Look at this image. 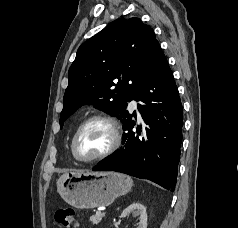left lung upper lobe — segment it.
I'll use <instances>...</instances> for the list:
<instances>
[{
  "mask_svg": "<svg viewBox=\"0 0 238 228\" xmlns=\"http://www.w3.org/2000/svg\"><path fill=\"white\" fill-rule=\"evenodd\" d=\"M159 48L153 29L138 18L117 19L84 42L69 69L60 126L85 104L124 123L127 102Z\"/></svg>",
  "mask_w": 238,
  "mask_h": 228,
  "instance_id": "obj_1",
  "label": "left lung upper lobe"
}]
</instances>
